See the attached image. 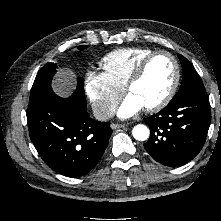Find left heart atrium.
<instances>
[{"instance_id":"left-heart-atrium-1","label":"left heart atrium","mask_w":221,"mask_h":221,"mask_svg":"<svg viewBox=\"0 0 221 221\" xmlns=\"http://www.w3.org/2000/svg\"><path fill=\"white\" fill-rule=\"evenodd\" d=\"M143 104L132 94H128L117 109L120 118H129L143 109Z\"/></svg>"}]
</instances>
